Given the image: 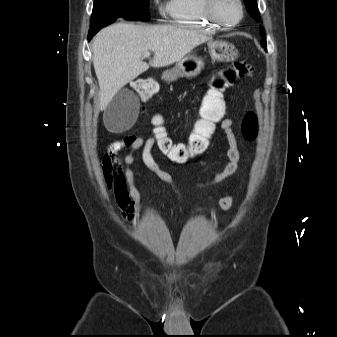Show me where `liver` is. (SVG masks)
<instances>
[{"label": "liver", "mask_w": 337, "mask_h": 337, "mask_svg": "<svg viewBox=\"0 0 337 337\" xmlns=\"http://www.w3.org/2000/svg\"><path fill=\"white\" fill-rule=\"evenodd\" d=\"M210 40L196 31L171 25L116 23L102 29L93 41V66L100 88V109L105 110L118 91L149 67H165L184 58ZM154 52L146 63L145 52Z\"/></svg>", "instance_id": "obj_1"}]
</instances>
